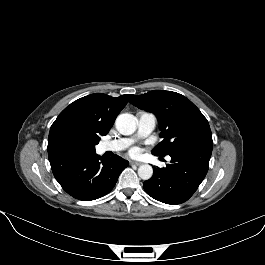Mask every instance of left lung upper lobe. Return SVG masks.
Returning <instances> with one entry per match:
<instances>
[{
    "mask_svg": "<svg viewBox=\"0 0 265 265\" xmlns=\"http://www.w3.org/2000/svg\"><path fill=\"white\" fill-rule=\"evenodd\" d=\"M131 104L153 113L163 138L152 151L154 155H168L190 141L212 137L209 123L200 110L185 96L164 90L132 95Z\"/></svg>",
    "mask_w": 265,
    "mask_h": 265,
    "instance_id": "left-lung-upper-lobe-1",
    "label": "left lung upper lobe"
}]
</instances>
